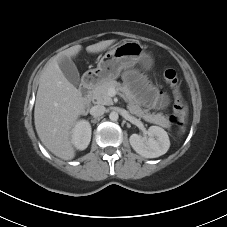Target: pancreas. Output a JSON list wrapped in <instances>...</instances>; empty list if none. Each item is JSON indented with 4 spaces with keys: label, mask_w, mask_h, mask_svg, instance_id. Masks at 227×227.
<instances>
[{
    "label": "pancreas",
    "mask_w": 227,
    "mask_h": 227,
    "mask_svg": "<svg viewBox=\"0 0 227 227\" xmlns=\"http://www.w3.org/2000/svg\"><path fill=\"white\" fill-rule=\"evenodd\" d=\"M110 88H114L117 91H121L126 94V97L128 99L127 108L131 114L141 117L147 122L170 129L171 123L166 116H164L162 113L149 114L146 111L142 110L141 107L133 100L132 95L127 91V89L115 80L104 81L97 85L91 91V99L93 100V102L101 105H112V98L108 94Z\"/></svg>",
    "instance_id": "pancreas-1"
}]
</instances>
